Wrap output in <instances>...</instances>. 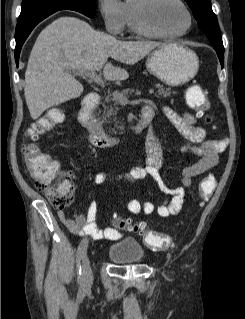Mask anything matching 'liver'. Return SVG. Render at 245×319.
Wrapping results in <instances>:
<instances>
[{
  "instance_id": "obj_1",
  "label": "liver",
  "mask_w": 245,
  "mask_h": 319,
  "mask_svg": "<svg viewBox=\"0 0 245 319\" xmlns=\"http://www.w3.org/2000/svg\"><path fill=\"white\" fill-rule=\"evenodd\" d=\"M160 46L154 41L117 40L76 17L56 19L41 31L28 59L24 95L31 118L82 94L84 88L71 71L103 69L105 79L125 80L128 72L108 58L133 65Z\"/></svg>"
}]
</instances>
